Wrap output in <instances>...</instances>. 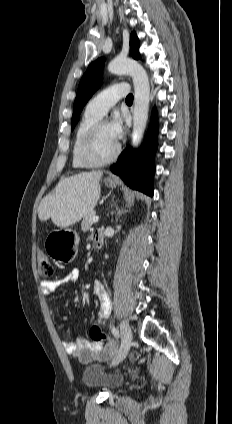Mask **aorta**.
<instances>
[{"mask_svg":"<svg viewBox=\"0 0 232 424\" xmlns=\"http://www.w3.org/2000/svg\"><path fill=\"white\" fill-rule=\"evenodd\" d=\"M113 74H128L134 84V110L132 145L137 147L146 128L150 101V84L144 68L136 61L128 58H115L108 65Z\"/></svg>","mask_w":232,"mask_h":424,"instance_id":"obj_1","label":"aorta"}]
</instances>
